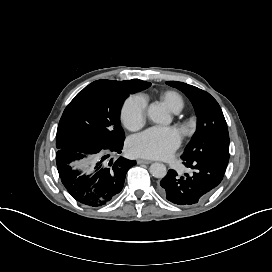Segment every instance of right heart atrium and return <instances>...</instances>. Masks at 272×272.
Returning a JSON list of instances; mask_svg holds the SVG:
<instances>
[{
    "label": "right heart atrium",
    "instance_id": "d8ad5b80",
    "mask_svg": "<svg viewBox=\"0 0 272 272\" xmlns=\"http://www.w3.org/2000/svg\"><path fill=\"white\" fill-rule=\"evenodd\" d=\"M146 111L147 102L142 95L128 97L121 112L124 126L131 131L140 129L145 123Z\"/></svg>",
    "mask_w": 272,
    "mask_h": 272
}]
</instances>
